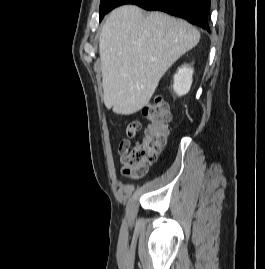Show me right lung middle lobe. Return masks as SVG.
<instances>
[{
    "mask_svg": "<svg viewBox=\"0 0 265 269\" xmlns=\"http://www.w3.org/2000/svg\"><path fill=\"white\" fill-rule=\"evenodd\" d=\"M114 0H101L100 4V15L99 19L101 20L104 15L107 13L108 9L110 8L111 4Z\"/></svg>",
    "mask_w": 265,
    "mask_h": 269,
    "instance_id": "right-lung-middle-lobe-1",
    "label": "right lung middle lobe"
}]
</instances>
